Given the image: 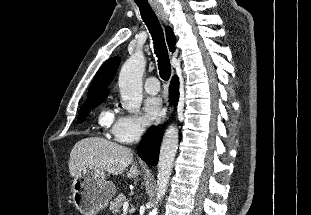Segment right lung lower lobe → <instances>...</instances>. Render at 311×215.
<instances>
[{
  "label": "right lung lower lobe",
  "instance_id": "right-lung-lower-lobe-1",
  "mask_svg": "<svg viewBox=\"0 0 311 215\" xmlns=\"http://www.w3.org/2000/svg\"><path fill=\"white\" fill-rule=\"evenodd\" d=\"M178 85V77L173 76L169 87L170 104L175 105L177 103V99L179 97ZM161 138V131L155 127H150L144 138L140 141L139 145L137 146V152L146 163H149L150 165L157 164Z\"/></svg>",
  "mask_w": 311,
  "mask_h": 215
}]
</instances>
